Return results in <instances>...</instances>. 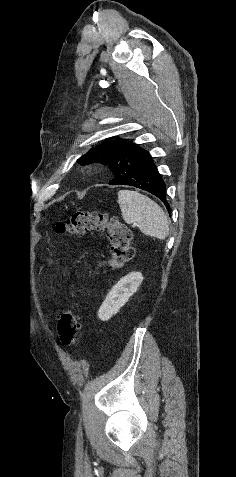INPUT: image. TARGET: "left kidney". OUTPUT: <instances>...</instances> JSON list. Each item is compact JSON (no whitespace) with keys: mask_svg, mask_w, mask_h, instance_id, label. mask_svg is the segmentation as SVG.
Segmentation results:
<instances>
[{"mask_svg":"<svg viewBox=\"0 0 236 477\" xmlns=\"http://www.w3.org/2000/svg\"><path fill=\"white\" fill-rule=\"evenodd\" d=\"M142 281L143 276L140 272H131L122 277L109 291L100 306L98 311L99 319L107 321L117 314L120 308L128 302V299L136 293Z\"/></svg>","mask_w":236,"mask_h":477,"instance_id":"left-kidney-1","label":"left kidney"}]
</instances>
